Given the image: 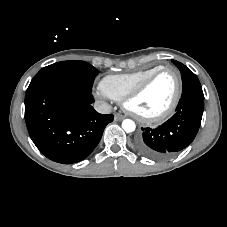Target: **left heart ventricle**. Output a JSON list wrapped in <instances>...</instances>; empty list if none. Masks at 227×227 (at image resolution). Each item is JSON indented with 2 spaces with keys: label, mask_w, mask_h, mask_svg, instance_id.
<instances>
[{
  "label": "left heart ventricle",
  "mask_w": 227,
  "mask_h": 227,
  "mask_svg": "<svg viewBox=\"0 0 227 227\" xmlns=\"http://www.w3.org/2000/svg\"><path fill=\"white\" fill-rule=\"evenodd\" d=\"M177 88L173 72L167 71L155 78L138 97L130 102V107L143 116H154L163 112L171 103Z\"/></svg>",
  "instance_id": "b2bd125f"
}]
</instances>
